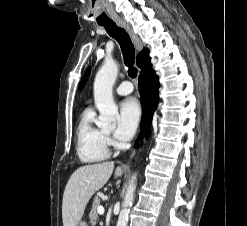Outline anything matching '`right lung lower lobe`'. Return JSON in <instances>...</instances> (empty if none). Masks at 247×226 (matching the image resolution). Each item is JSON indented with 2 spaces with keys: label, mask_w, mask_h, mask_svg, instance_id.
Segmentation results:
<instances>
[{
  "label": "right lung lower lobe",
  "mask_w": 247,
  "mask_h": 226,
  "mask_svg": "<svg viewBox=\"0 0 247 226\" xmlns=\"http://www.w3.org/2000/svg\"><path fill=\"white\" fill-rule=\"evenodd\" d=\"M158 88V77L152 70L151 62H149L146 67L141 70L139 76V91L143 104L141 132L146 138L149 135L153 113L158 104Z\"/></svg>",
  "instance_id": "obj_1"
}]
</instances>
